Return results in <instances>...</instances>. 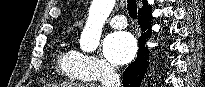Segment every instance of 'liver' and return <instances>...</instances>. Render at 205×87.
Wrapping results in <instances>:
<instances>
[{"mask_svg":"<svg viewBox=\"0 0 205 87\" xmlns=\"http://www.w3.org/2000/svg\"><path fill=\"white\" fill-rule=\"evenodd\" d=\"M50 87H99L95 84H77V83H61V84H52Z\"/></svg>","mask_w":205,"mask_h":87,"instance_id":"obj_1","label":"liver"}]
</instances>
